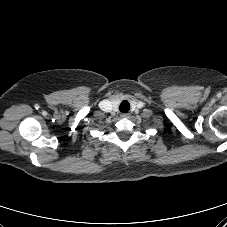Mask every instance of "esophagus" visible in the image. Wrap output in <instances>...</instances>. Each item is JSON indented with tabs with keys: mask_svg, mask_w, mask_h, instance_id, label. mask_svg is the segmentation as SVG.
I'll list each match as a JSON object with an SVG mask.
<instances>
[{
	"mask_svg": "<svg viewBox=\"0 0 227 227\" xmlns=\"http://www.w3.org/2000/svg\"><path fill=\"white\" fill-rule=\"evenodd\" d=\"M129 117H130L129 114H122V115H121V118H129Z\"/></svg>",
	"mask_w": 227,
	"mask_h": 227,
	"instance_id": "34e87169",
	"label": "esophagus"
}]
</instances>
